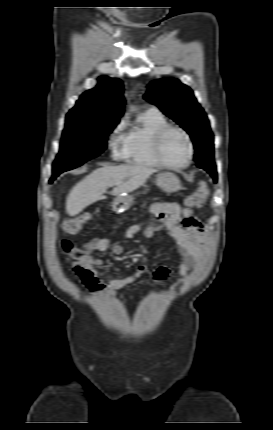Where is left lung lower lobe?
Returning <instances> with one entry per match:
<instances>
[{"label":"left lung lower lobe","instance_id":"0a47b994","mask_svg":"<svg viewBox=\"0 0 273 430\" xmlns=\"http://www.w3.org/2000/svg\"><path fill=\"white\" fill-rule=\"evenodd\" d=\"M199 168H202L206 171H208L211 176L213 177L214 181H217V172L215 168V162L214 159L201 161L197 165Z\"/></svg>","mask_w":273,"mask_h":430}]
</instances>
